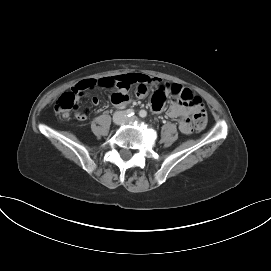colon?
I'll use <instances>...</instances> for the list:
<instances>
[{
	"label": "colon",
	"mask_w": 271,
	"mask_h": 271,
	"mask_svg": "<svg viewBox=\"0 0 271 271\" xmlns=\"http://www.w3.org/2000/svg\"><path fill=\"white\" fill-rule=\"evenodd\" d=\"M87 88L89 87L72 89L71 91L63 93L56 101L54 107L55 112L62 117H68L78 107L77 97ZM182 100L197 107V112L193 116L194 127L197 131L203 130L206 126L207 117L201 99L189 94H184Z\"/></svg>",
	"instance_id": "1"
}]
</instances>
